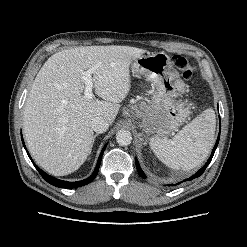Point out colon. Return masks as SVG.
I'll list each match as a JSON object with an SVG mask.
<instances>
[{
  "mask_svg": "<svg viewBox=\"0 0 247 247\" xmlns=\"http://www.w3.org/2000/svg\"><path fill=\"white\" fill-rule=\"evenodd\" d=\"M175 65L186 80H190L196 72L195 66L183 57L177 56L175 58Z\"/></svg>",
  "mask_w": 247,
  "mask_h": 247,
  "instance_id": "5ec220e1",
  "label": "colon"
}]
</instances>
